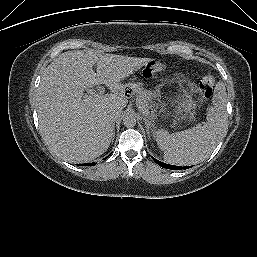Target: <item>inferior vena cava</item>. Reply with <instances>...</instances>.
<instances>
[{"label":"inferior vena cava","mask_w":257,"mask_h":257,"mask_svg":"<svg viewBox=\"0 0 257 257\" xmlns=\"http://www.w3.org/2000/svg\"><path fill=\"white\" fill-rule=\"evenodd\" d=\"M120 116H121V113H120V112H118V111H112V112L109 113L108 119H109L112 123H114L115 121H117V120L120 118Z\"/></svg>","instance_id":"602c4592"}]
</instances>
